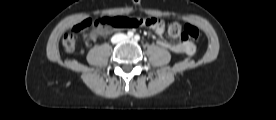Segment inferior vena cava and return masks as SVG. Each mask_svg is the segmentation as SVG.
Here are the masks:
<instances>
[{
	"label": "inferior vena cava",
	"mask_w": 276,
	"mask_h": 120,
	"mask_svg": "<svg viewBox=\"0 0 276 120\" xmlns=\"http://www.w3.org/2000/svg\"><path fill=\"white\" fill-rule=\"evenodd\" d=\"M127 38L126 35L124 34H115L112 38H111V42L112 43H118V42H121V41H124L125 39Z\"/></svg>",
	"instance_id": "1"
}]
</instances>
